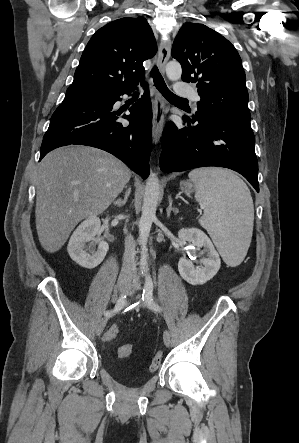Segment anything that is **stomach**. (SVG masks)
Masks as SVG:
<instances>
[{
    "label": "stomach",
    "instance_id": "0dacf381",
    "mask_svg": "<svg viewBox=\"0 0 299 443\" xmlns=\"http://www.w3.org/2000/svg\"><path fill=\"white\" fill-rule=\"evenodd\" d=\"M181 191L190 194L196 189V185L190 181H182L180 182Z\"/></svg>",
    "mask_w": 299,
    "mask_h": 443
}]
</instances>
